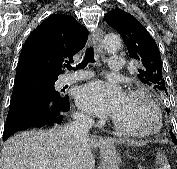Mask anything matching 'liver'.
Returning a JSON list of instances; mask_svg holds the SVG:
<instances>
[{"label": "liver", "instance_id": "6515ba94", "mask_svg": "<svg viewBox=\"0 0 177 169\" xmlns=\"http://www.w3.org/2000/svg\"><path fill=\"white\" fill-rule=\"evenodd\" d=\"M114 143L120 141L72 138L62 128L25 131L5 142L0 169H94L92 151Z\"/></svg>", "mask_w": 177, "mask_h": 169}]
</instances>
